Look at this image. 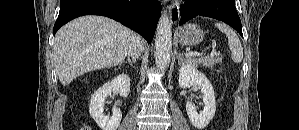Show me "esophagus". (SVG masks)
I'll return each instance as SVG.
<instances>
[{
  "mask_svg": "<svg viewBox=\"0 0 299 130\" xmlns=\"http://www.w3.org/2000/svg\"><path fill=\"white\" fill-rule=\"evenodd\" d=\"M169 19L171 24H176L180 19V12L177 5L172 4L168 7Z\"/></svg>",
  "mask_w": 299,
  "mask_h": 130,
  "instance_id": "34e87169",
  "label": "esophagus"
}]
</instances>
